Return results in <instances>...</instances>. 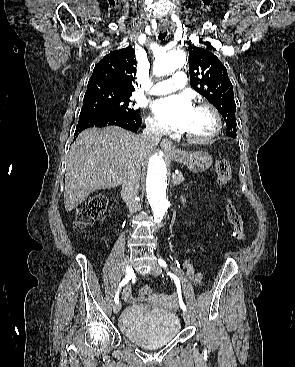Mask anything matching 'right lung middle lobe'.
<instances>
[{
    "instance_id": "obj_1",
    "label": "right lung middle lobe",
    "mask_w": 295,
    "mask_h": 367,
    "mask_svg": "<svg viewBox=\"0 0 295 367\" xmlns=\"http://www.w3.org/2000/svg\"><path fill=\"white\" fill-rule=\"evenodd\" d=\"M132 94H121L105 89H89L86 91L80 116L105 114H139L131 103Z\"/></svg>"
}]
</instances>
